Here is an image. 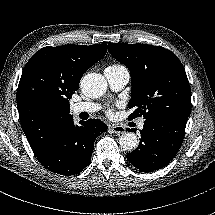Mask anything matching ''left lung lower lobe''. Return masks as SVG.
Listing matches in <instances>:
<instances>
[{
    "instance_id": "1",
    "label": "left lung lower lobe",
    "mask_w": 215,
    "mask_h": 215,
    "mask_svg": "<svg viewBox=\"0 0 215 215\" xmlns=\"http://www.w3.org/2000/svg\"><path fill=\"white\" fill-rule=\"evenodd\" d=\"M187 120L185 117L145 120L139 146L127 154L128 161L144 172L167 166L182 145Z\"/></svg>"
}]
</instances>
